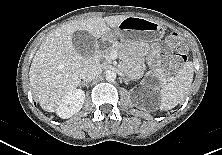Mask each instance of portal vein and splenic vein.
Wrapping results in <instances>:
<instances>
[{
	"label": "portal vein and splenic vein",
	"instance_id": "portal-vein-and-splenic-vein-1",
	"mask_svg": "<svg viewBox=\"0 0 222 155\" xmlns=\"http://www.w3.org/2000/svg\"><path fill=\"white\" fill-rule=\"evenodd\" d=\"M117 56H118L117 51H113V52L111 53V55H110L111 59H116Z\"/></svg>",
	"mask_w": 222,
	"mask_h": 155
}]
</instances>
